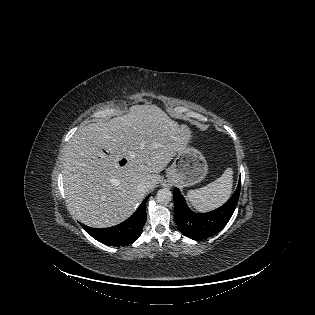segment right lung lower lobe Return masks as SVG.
Listing matches in <instances>:
<instances>
[{
  "mask_svg": "<svg viewBox=\"0 0 315 315\" xmlns=\"http://www.w3.org/2000/svg\"><path fill=\"white\" fill-rule=\"evenodd\" d=\"M144 199L135 213L126 221L110 228L95 229L80 224L83 229L99 242L111 246H124L136 241L142 233L146 221V202Z\"/></svg>",
  "mask_w": 315,
  "mask_h": 315,
  "instance_id": "98d812e1",
  "label": "right lung lower lobe"
}]
</instances>
